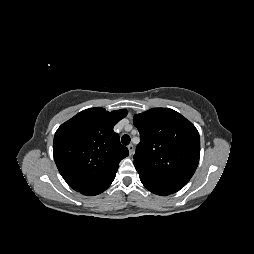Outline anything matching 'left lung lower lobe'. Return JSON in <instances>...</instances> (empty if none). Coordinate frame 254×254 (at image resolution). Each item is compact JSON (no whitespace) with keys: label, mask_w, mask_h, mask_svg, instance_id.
Returning <instances> with one entry per match:
<instances>
[{"label":"left lung lower lobe","mask_w":254,"mask_h":254,"mask_svg":"<svg viewBox=\"0 0 254 254\" xmlns=\"http://www.w3.org/2000/svg\"><path fill=\"white\" fill-rule=\"evenodd\" d=\"M142 184L152 193L157 195H169L179 191L185 186L183 183L156 178L138 171Z\"/></svg>","instance_id":"1"}]
</instances>
